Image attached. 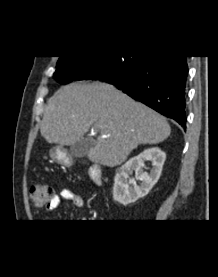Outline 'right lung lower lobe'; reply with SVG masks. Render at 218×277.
I'll list each match as a JSON object with an SVG mask.
<instances>
[{
  "instance_id": "right-lung-lower-lobe-1",
  "label": "right lung lower lobe",
  "mask_w": 218,
  "mask_h": 277,
  "mask_svg": "<svg viewBox=\"0 0 218 277\" xmlns=\"http://www.w3.org/2000/svg\"><path fill=\"white\" fill-rule=\"evenodd\" d=\"M187 74L186 56L150 55L125 81L107 82L185 127ZM84 79L104 77L87 75Z\"/></svg>"
}]
</instances>
